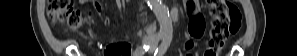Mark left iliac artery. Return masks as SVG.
I'll return each instance as SVG.
<instances>
[{"mask_svg": "<svg viewBox=\"0 0 297 56\" xmlns=\"http://www.w3.org/2000/svg\"><path fill=\"white\" fill-rule=\"evenodd\" d=\"M171 39H172V37L169 34L163 38V42L161 43L159 48H157V50L155 51V56H163L164 55L168 46L171 43Z\"/></svg>", "mask_w": 297, "mask_h": 56, "instance_id": "left-iliac-artery-1", "label": "left iliac artery"}]
</instances>
